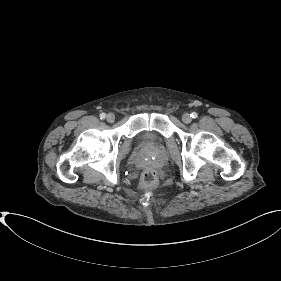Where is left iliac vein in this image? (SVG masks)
Instances as JSON below:
<instances>
[{
  "instance_id": "1",
  "label": "left iliac vein",
  "mask_w": 281,
  "mask_h": 281,
  "mask_svg": "<svg viewBox=\"0 0 281 281\" xmlns=\"http://www.w3.org/2000/svg\"><path fill=\"white\" fill-rule=\"evenodd\" d=\"M182 121L186 124L190 123L192 121L190 114L188 113L183 114Z\"/></svg>"
}]
</instances>
